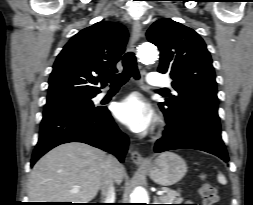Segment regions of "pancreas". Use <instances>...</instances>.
Instances as JSON below:
<instances>
[{"label": "pancreas", "mask_w": 253, "mask_h": 205, "mask_svg": "<svg viewBox=\"0 0 253 205\" xmlns=\"http://www.w3.org/2000/svg\"><path fill=\"white\" fill-rule=\"evenodd\" d=\"M161 190L165 193L159 197L160 202L163 204H180L183 201L179 192L166 187H162Z\"/></svg>", "instance_id": "cf45deb5"}]
</instances>
